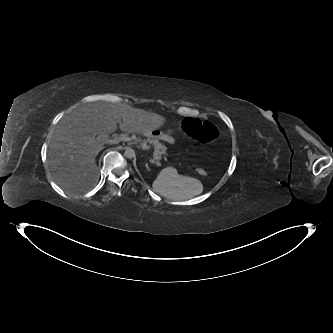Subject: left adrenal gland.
Here are the masks:
<instances>
[{
	"label": "left adrenal gland",
	"instance_id": "a2214340",
	"mask_svg": "<svg viewBox=\"0 0 333 333\" xmlns=\"http://www.w3.org/2000/svg\"><path fill=\"white\" fill-rule=\"evenodd\" d=\"M145 166H146V168H147L148 171L151 170V169L149 168V166H148V163H146Z\"/></svg>",
	"mask_w": 333,
	"mask_h": 333
}]
</instances>
